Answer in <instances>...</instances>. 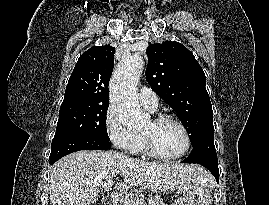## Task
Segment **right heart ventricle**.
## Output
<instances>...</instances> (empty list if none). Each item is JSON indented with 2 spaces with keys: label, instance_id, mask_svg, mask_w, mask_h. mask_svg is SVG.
<instances>
[{
  "label": "right heart ventricle",
  "instance_id": "obj_1",
  "mask_svg": "<svg viewBox=\"0 0 269 205\" xmlns=\"http://www.w3.org/2000/svg\"><path fill=\"white\" fill-rule=\"evenodd\" d=\"M132 152H134V153L143 152V146H142V142H141L140 137H139V140H138L135 148L132 150Z\"/></svg>",
  "mask_w": 269,
  "mask_h": 205
}]
</instances>
